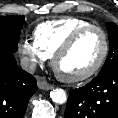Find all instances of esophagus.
Segmentation results:
<instances>
[{"instance_id":"obj_1","label":"esophagus","mask_w":118,"mask_h":118,"mask_svg":"<svg viewBox=\"0 0 118 118\" xmlns=\"http://www.w3.org/2000/svg\"><path fill=\"white\" fill-rule=\"evenodd\" d=\"M37 85L42 90H50L53 88V86L49 84L44 78H39L37 80Z\"/></svg>"}]
</instances>
